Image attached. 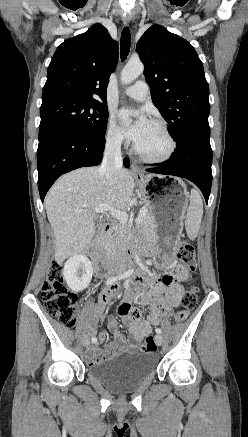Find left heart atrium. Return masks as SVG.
I'll return each mask as SVG.
<instances>
[{
    "mask_svg": "<svg viewBox=\"0 0 248 437\" xmlns=\"http://www.w3.org/2000/svg\"><path fill=\"white\" fill-rule=\"evenodd\" d=\"M118 118L123 135L134 144L140 141L151 123L142 110L121 109Z\"/></svg>",
    "mask_w": 248,
    "mask_h": 437,
    "instance_id": "39dd6f15",
    "label": "left heart atrium"
}]
</instances>
